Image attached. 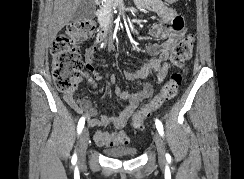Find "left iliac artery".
Here are the masks:
<instances>
[{
	"label": "left iliac artery",
	"instance_id": "1",
	"mask_svg": "<svg viewBox=\"0 0 244 179\" xmlns=\"http://www.w3.org/2000/svg\"><path fill=\"white\" fill-rule=\"evenodd\" d=\"M155 124H156V128H157L159 134H160L161 136H163L164 131H163V125H162V123H161L158 119H156V120H155ZM167 156H169V154H166V157H167Z\"/></svg>",
	"mask_w": 244,
	"mask_h": 179
}]
</instances>
